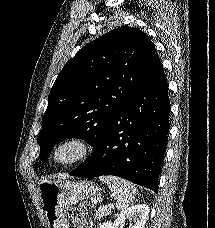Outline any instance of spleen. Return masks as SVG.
Wrapping results in <instances>:
<instances>
[{
	"instance_id": "spleen-1",
	"label": "spleen",
	"mask_w": 215,
	"mask_h": 228,
	"mask_svg": "<svg viewBox=\"0 0 215 228\" xmlns=\"http://www.w3.org/2000/svg\"><path fill=\"white\" fill-rule=\"evenodd\" d=\"M99 180L110 188L115 200H117V210H126L130 204H133L137 188L131 182L121 180V178H116V176H100Z\"/></svg>"
}]
</instances>
